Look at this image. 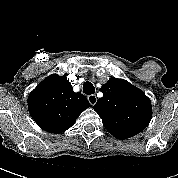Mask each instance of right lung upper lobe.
I'll list each match as a JSON object with an SVG mask.
<instances>
[{
    "label": "right lung upper lobe",
    "mask_w": 178,
    "mask_h": 178,
    "mask_svg": "<svg viewBox=\"0 0 178 178\" xmlns=\"http://www.w3.org/2000/svg\"><path fill=\"white\" fill-rule=\"evenodd\" d=\"M90 103L75 93L66 75L52 74L29 95L28 109L34 121L45 131L59 134L72 127Z\"/></svg>",
    "instance_id": "cb5924a9"
}]
</instances>
